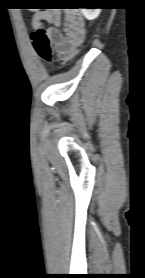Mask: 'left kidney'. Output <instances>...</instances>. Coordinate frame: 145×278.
<instances>
[{"label": "left kidney", "instance_id": "obj_1", "mask_svg": "<svg viewBox=\"0 0 145 278\" xmlns=\"http://www.w3.org/2000/svg\"><path fill=\"white\" fill-rule=\"evenodd\" d=\"M82 10V14L84 15V17L88 20H94L96 19L100 12H101V8H94V9H81Z\"/></svg>", "mask_w": 145, "mask_h": 278}]
</instances>
